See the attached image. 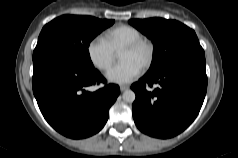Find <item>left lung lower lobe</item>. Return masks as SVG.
<instances>
[{"label": "left lung lower lobe", "instance_id": "0a47b994", "mask_svg": "<svg viewBox=\"0 0 238 158\" xmlns=\"http://www.w3.org/2000/svg\"><path fill=\"white\" fill-rule=\"evenodd\" d=\"M158 83L161 88L146 90ZM136 126L157 138H170L184 131L196 118L207 90L204 54L181 58L154 75H144L131 86Z\"/></svg>", "mask_w": 238, "mask_h": 158}]
</instances>
